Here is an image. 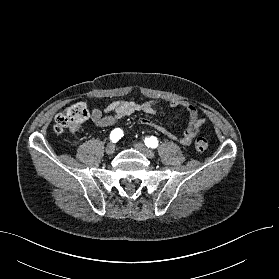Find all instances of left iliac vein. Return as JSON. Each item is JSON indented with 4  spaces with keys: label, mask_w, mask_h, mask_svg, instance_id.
<instances>
[{
    "label": "left iliac vein",
    "mask_w": 279,
    "mask_h": 279,
    "mask_svg": "<svg viewBox=\"0 0 279 279\" xmlns=\"http://www.w3.org/2000/svg\"><path fill=\"white\" fill-rule=\"evenodd\" d=\"M134 147L140 151L144 156H146L147 158H153L154 157V152L149 149L147 146H145L143 143H135Z\"/></svg>",
    "instance_id": "left-iliac-vein-1"
}]
</instances>
